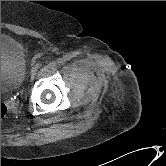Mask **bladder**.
Here are the masks:
<instances>
[{
    "label": "bladder",
    "instance_id": "bladder-1",
    "mask_svg": "<svg viewBox=\"0 0 166 166\" xmlns=\"http://www.w3.org/2000/svg\"><path fill=\"white\" fill-rule=\"evenodd\" d=\"M26 64L22 45L1 34V90L20 87L25 78Z\"/></svg>",
    "mask_w": 166,
    "mask_h": 166
}]
</instances>
